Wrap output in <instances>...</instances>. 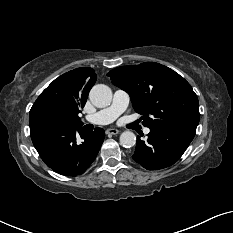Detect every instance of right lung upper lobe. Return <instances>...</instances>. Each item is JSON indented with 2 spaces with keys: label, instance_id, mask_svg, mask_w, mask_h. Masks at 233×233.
<instances>
[{
  "label": "right lung upper lobe",
  "instance_id": "right-lung-upper-lobe-1",
  "mask_svg": "<svg viewBox=\"0 0 233 233\" xmlns=\"http://www.w3.org/2000/svg\"><path fill=\"white\" fill-rule=\"evenodd\" d=\"M95 81L94 70L87 67L71 70L55 79L32 106L30 126L35 125L39 114L46 109L57 110L72 126L81 125L78 113Z\"/></svg>",
  "mask_w": 233,
  "mask_h": 233
}]
</instances>
